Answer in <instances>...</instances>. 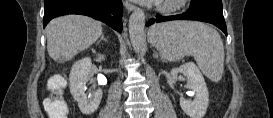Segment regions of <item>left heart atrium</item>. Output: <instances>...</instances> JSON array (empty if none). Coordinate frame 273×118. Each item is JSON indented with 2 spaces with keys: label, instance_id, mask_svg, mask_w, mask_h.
<instances>
[{
  "label": "left heart atrium",
  "instance_id": "1",
  "mask_svg": "<svg viewBox=\"0 0 273 118\" xmlns=\"http://www.w3.org/2000/svg\"><path fill=\"white\" fill-rule=\"evenodd\" d=\"M136 1L142 2V3H146V4L158 3V2H160V0H136Z\"/></svg>",
  "mask_w": 273,
  "mask_h": 118
}]
</instances>
